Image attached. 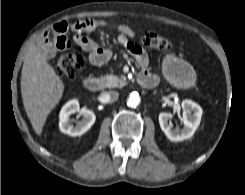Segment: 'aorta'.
Masks as SVG:
<instances>
[{
  "label": "aorta",
  "mask_w": 245,
  "mask_h": 195,
  "mask_svg": "<svg viewBox=\"0 0 245 195\" xmlns=\"http://www.w3.org/2000/svg\"><path fill=\"white\" fill-rule=\"evenodd\" d=\"M140 103V97L137 92H132L128 98V106L136 107Z\"/></svg>",
  "instance_id": "obj_1"
}]
</instances>
